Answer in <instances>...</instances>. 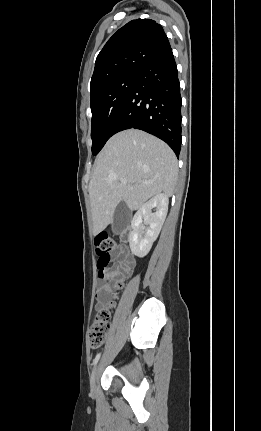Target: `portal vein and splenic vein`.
<instances>
[{
	"mask_svg": "<svg viewBox=\"0 0 261 431\" xmlns=\"http://www.w3.org/2000/svg\"><path fill=\"white\" fill-rule=\"evenodd\" d=\"M121 183H122V184H126V183H127V181H126L125 179H122V180H121Z\"/></svg>",
	"mask_w": 261,
	"mask_h": 431,
	"instance_id": "18ae733b",
	"label": "portal vein and splenic vein"
}]
</instances>
